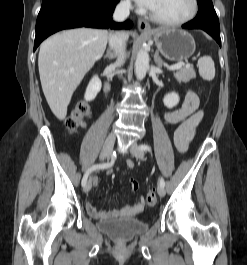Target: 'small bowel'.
Here are the masks:
<instances>
[{
    "instance_id": "obj_1",
    "label": "small bowel",
    "mask_w": 247,
    "mask_h": 265,
    "mask_svg": "<svg viewBox=\"0 0 247 265\" xmlns=\"http://www.w3.org/2000/svg\"><path fill=\"white\" fill-rule=\"evenodd\" d=\"M199 103L200 101L197 94L192 90H188L180 108L164 113V119L168 124L178 125L174 133V141L177 150L180 153L186 152L199 124L204 117V112L198 109ZM128 167H133V162L130 160L128 161ZM93 184H98V180L96 178L93 179ZM144 208L145 199L143 197H140L134 203L109 211H100L89 202L86 203L87 212L94 218L100 220L135 216L142 212Z\"/></svg>"
}]
</instances>
